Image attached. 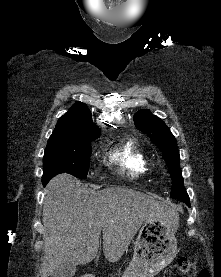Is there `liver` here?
<instances>
[{
	"instance_id": "liver-1",
	"label": "liver",
	"mask_w": 221,
	"mask_h": 277,
	"mask_svg": "<svg viewBox=\"0 0 221 277\" xmlns=\"http://www.w3.org/2000/svg\"><path fill=\"white\" fill-rule=\"evenodd\" d=\"M79 186L76 178L64 173L53 177L44 190L41 277H49L63 263L91 262L98 253L101 231L105 258L117 262L145 221L176 213L132 189L94 191Z\"/></svg>"
}]
</instances>
